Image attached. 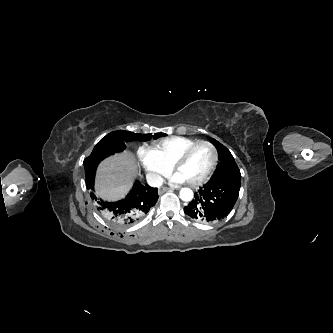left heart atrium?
Masks as SVG:
<instances>
[{"instance_id":"1","label":"left heart atrium","mask_w":333,"mask_h":333,"mask_svg":"<svg viewBox=\"0 0 333 333\" xmlns=\"http://www.w3.org/2000/svg\"><path fill=\"white\" fill-rule=\"evenodd\" d=\"M174 183H184L186 182L185 178L178 173H175L172 177Z\"/></svg>"}]
</instances>
